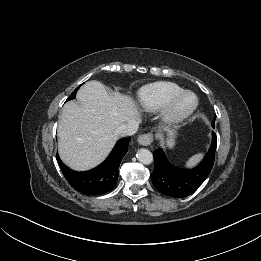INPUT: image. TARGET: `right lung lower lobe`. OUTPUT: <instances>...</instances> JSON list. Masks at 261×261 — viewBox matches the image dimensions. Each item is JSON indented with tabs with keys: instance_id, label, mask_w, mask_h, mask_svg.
I'll use <instances>...</instances> for the list:
<instances>
[{
	"instance_id": "obj_1",
	"label": "right lung lower lobe",
	"mask_w": 261,
	"mask_h": 261,
	"mask_svg": "<svg viewBox=\"0 0 261 261\" xmlns=\"http://www.w3.org/2000/svg\"><path fill=\"white\" fill-rule=\"evenodd\" d=\"M129 138L120 139L108 158L96 168L76 172L66 167L57 155V161L69 184L85 195H101L111 191L117 183L119 164L126 154Z\"/></svg>"
}]
</instances>
